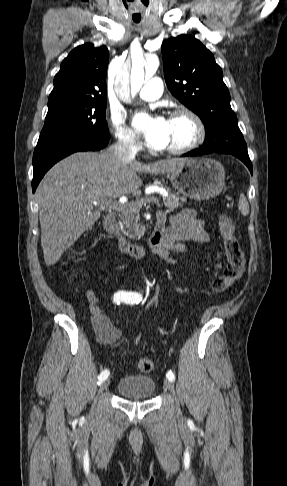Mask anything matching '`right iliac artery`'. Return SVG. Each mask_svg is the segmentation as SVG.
Segmentation results:
<instances>
[{"mask_svg": "<svg viewBox=\"0 0 287 486\" xmlns=\"http://www.w3.org/2000/svg\"><path fill=\"white\" fill-rule=\"evenodd\" d=\"M135 297L139 298V301L142 299L141 295L136 292H127V291H118L114 294L113 300L117 304H121L123 302L127 303L128 300L134 299ZM109 376L108 370H103L100 375L98 376V384L102 383L104 380L107 379Z\"/></svg>", "mask_w": 287, "mask_h": 486, "instance_id": "1", "label": "right iliac artery"}]
</instances>
